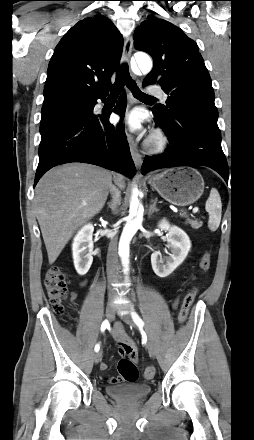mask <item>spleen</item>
Returning <instances> with one entry per match:
<instances>
[{
  "label": "spleen",
  "mask_w": 254,
  "mask_h": 440,
  "mask_svg": "<svg viewBox=\"0 0 254 440\" xmlns=\"http://www.w3.org/2000/svg\"><path fill=\"white\" fill-rule=\"evenodd\" d=\"M205 209L209 213L208 227L211 231H216L221 221L222 203L216 188H212L209 198L206 201ZM185 216V213L181 214Z\"/></svg>",
  "instance_id": "spleen-1"
}]
</instances>
